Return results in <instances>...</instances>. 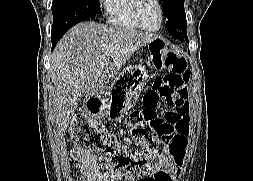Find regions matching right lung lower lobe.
I'll return each mask as SVG.
<instances>
[{"mask_svg":"<svg viewBox=\"0 0 253 181\" xmlns=\"http://www.w3.org/2000/svg\"><path fill=\"white\" fill-rule=\"evenodd\" d=\"M65 34V32L60 33L58 35L52 36L51 40H52V49L56 46L57 42L62 38V36Z\"/></svg>","mask_w":253,"mask_h":181,"instance_id":"obj_1","label":"right lung lower lobe"}]
</instances>
